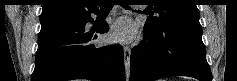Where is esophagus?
<instances>
[{
	"label": "esophagus",
	"instance_id": "esophagus-1",
	"mask_svg": "<svg viewBox=\"0 0 237 81\" xmlns=\"http://www.w3.org/2000/svg\"><path fill=\"white\" fill-rule=\"evenodd\" d=\"M124 52V64H125V72H126V78L129 79L130 77V56H131V50L128 46L123 47Z\"/></svg>",
	"mask_w": 237,
	"mask_h": 81
}]
</instances>
